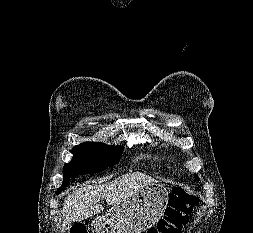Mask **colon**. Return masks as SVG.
<instances>
[{"label": "colon", "instance_id": "1", "mask_svg": "<svg viewBox=\"0 0 253 233\" xmlns=\"http://www.w3.org/2000/svg\"><path fill=\"white\" fill-rule=\"evenodd\" d=\"M199 203V198L182 188H173L168 194V205L164 216L146 233H181L189 215ZM70 233H88L85 225L74 224Z\"/></svg>", "mask_w": 253, "mask_h": 233}]
</instances>
